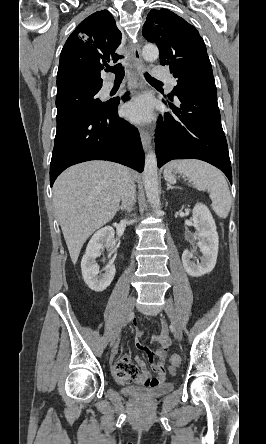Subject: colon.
<instances>
[{
    "label": "colon",
    "mask_w": 266,
    "mask_h": 444,
    "mask_svg": "<svg viewBox=\"0 0 266 444\" xmlns=\"http://www.w3.org/2000/svg\"><path fill=\"white\" fill-rule=\"evenodd\" d=\"M170 364L172 368H175L179 365L180 363V358L178 355L176 354H172L169 358Z\"/></svg>",
    "instance_id": "5ec220e1"
}]
</instances>
